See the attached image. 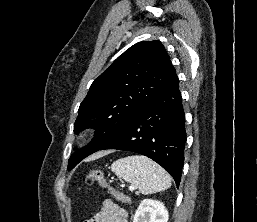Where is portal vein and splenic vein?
<instances>
[{
	"label": "portal vein and splenic vein",
	"mask_w": 257,
	"mask_h": 222,
	"mask_svg": "<svg viewBox=\"0 0 257 222\" xmlns=\"http://www.w3.org/2000/svg\"><path fill=\"white\" fill-rule=\"evenodd\" d=\"M129 189H130V190H134L135 188H134L133 186H130Z\"/></svg>",
	"instance_id": "1"
}]
</instances>
